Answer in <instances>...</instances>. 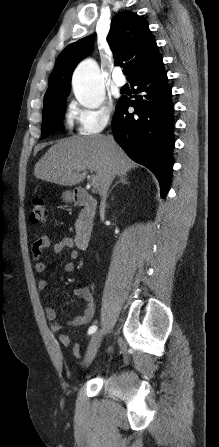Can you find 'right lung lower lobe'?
<instances>
[{"label":"right lung lower lobe","instance_id":"right-lung-lower-lobe-1","mask_svg":"<svg viewBox=\"0 0 219 447\" xmlns=\"http://www.w3.org/2000/svg\"><path fill=\"white\" fill-rule=\"evenodd\" d=\"M135 100L121 97L112 120L115 140L134 161L157 177L161 197L168 193L173 170L174 105L162 58L130 81ZM129 106L135 112L129 113Z\"/></svg>","mask_w":219,"mask_h":447}]
</instances>
